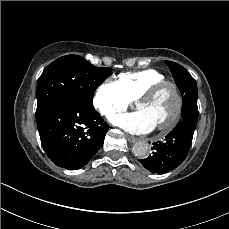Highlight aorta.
Returning <instances> with one entry per match:
<instances>
[{"label":"aorta","instance_id":"obj_1","mask_svg":"<svg viewBox=\"0 0 229 229\" xmlns=\"http://www.w3.org/2000/svg\"><path fill=\"white\" fill-rule=\"evenodd\" d=\"M132 151H133L135 156L140 157V158H144V157L148 156V154H149V145H148V143H146L144 141H138V142L134 143V145L132 147Z\"/></svg>","mask_w":229,"mask_h":229}]
</instances>
